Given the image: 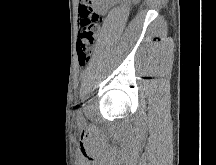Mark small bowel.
<instances>
[{"mask_svg": "<svg viewBox=\"0 0 216 165\" xmlns=\"http://www.w3.org/2000/svg\"><path fill=\"white\" fill-rule=\"evenodd\" d=\"M136 2L138 0H132ZM111 0H80L79 15L82 17V10H94L98 15L105 14L110 6Z\"/></svg>", "mask_w": 216, "mask_h": 165, "instance_id": "1", "label": "small bowel"}]
</instances>
